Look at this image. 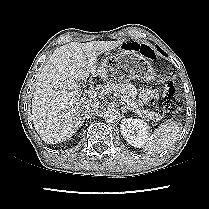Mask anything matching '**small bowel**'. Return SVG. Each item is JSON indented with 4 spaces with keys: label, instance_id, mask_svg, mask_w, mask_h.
Here are the masks:
<instances>
[{
    "label": "small bowel",
    "instance_id": "c3829d8e",
    "mask_svg": "<svg viewBox=\"0 0 209 209\" xmlns=\"http://www.w3.org/2000/svg\"><path fill=\"white\" fill-rule=\"evenodd\" d=\"M157 93L153 89H144L140 94V100L142 102H149L156 98Z\"/></svg>",
    "mask_w": 209,
    "mask_h": 209
}]
</instances>
